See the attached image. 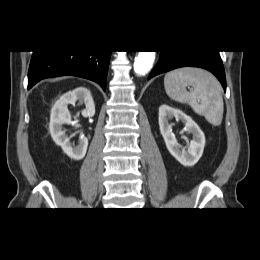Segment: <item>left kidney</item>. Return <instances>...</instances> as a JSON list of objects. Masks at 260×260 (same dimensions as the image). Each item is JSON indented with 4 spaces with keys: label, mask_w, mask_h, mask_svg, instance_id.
<instances>
[{
    "label": "left kidney",
    "mask_w": 260,
    "mask_h": 260,
    "mask_svg": "<svg viewBox=\"0 0 260 260\" xmlns=\"http://www.w3.org/2000/svg\"><path fill=\"white\" fill-rule=\"evenodd\" d=\"M173 117L182 121L185 124V130L192 134L187 151L180 149V145L172 133V125L169 120ZM159 127L168 151L178 162L184 166H193L198 162L203 154L205 135L191 117L179 109L164 104L159 107Z\"/></svg>",
    "instance_id": "left-kidney-1"
}]
</instances>
